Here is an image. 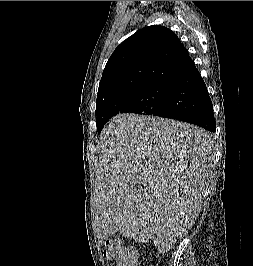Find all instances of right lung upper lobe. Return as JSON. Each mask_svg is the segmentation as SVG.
<instances>
[{"mask_svg":"<svg viewBox=\"0 0 253 266\" xmlns=\"http://www.w3.org/2000/svg\"><path fill=\"white\" fill-rule=\"evenodd\" d=\"M194 66L177 35L148 26L123 41L109 58L100 80L97 105L155 82L171 83Z\"/></svg>","mask_w":253,"mask_h":266,"instance_id":"right-lung-upper-lobe-1","label":"right lung upper lobe"}]
</instances>
